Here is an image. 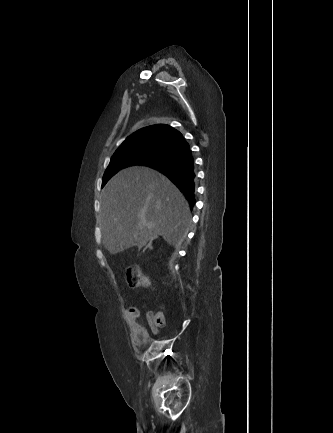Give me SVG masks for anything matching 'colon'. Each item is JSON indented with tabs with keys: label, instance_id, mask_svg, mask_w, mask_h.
<instances>
[{
	"label": "colon",
	"instance_id": "obj_1",
	"mask_svg": "<svg viewBox=\"0 0 333 433\" xmlns=\"http://www.w3.org/2000/svg\"><path fill=\"white\" fill-rule=\"evenodd\" d=\"M127 285L131 288L143 287L148 284V280L144 276L141 268L137 265H131L126 270ZM149 319L157 326L165 324V318L161 313L150 314Z\"/></svg>",
	"mask_w": 333,
	"mask_h": 433
}]
</instances>
